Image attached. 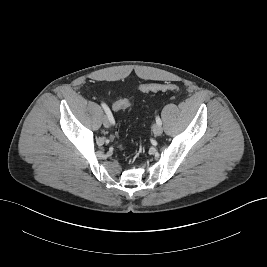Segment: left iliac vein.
<instances>
[{"label":"left iliac vein","instance_id":"left-iliac-vein-1","mask_svg":"<svg viewBox=\"0 0 267 267\" xmlns=\"http://www.w3.org/2000/svg\"><path fill=\"white\" fill-rule=\"evenodd\" d=\"M162 132H163V129H162V126H161V125H159V124H155V125L153 126V133H154L156 136L161 135Z\"/></svg>","mask_w":267,"mask_h":267}]
</instances>
